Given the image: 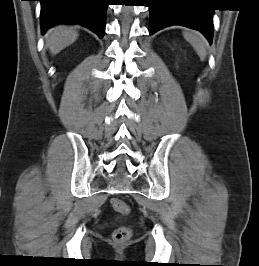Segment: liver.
I'll use <instances>...</instances> for the list:
<instances>
[{
    "label": "liver",
    "instance_id": "6515ba94",
    "mask_svg": "<svg viewBox=\"0 0 259 266\" xmlns=\"http://www.w3.org/2000/svg\"><path fill=\"white\" fill-rule=\"evenodd\" d=\"M78 32L74 27L56 26L46 33V45L52 55L58 54L64 48L76 41Z\"/></svg>",
    "mask_w": 259,
    "mask_h": 266
}]
</instances>
